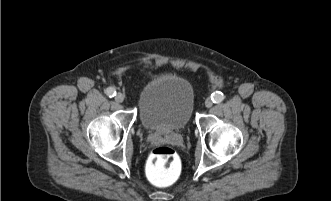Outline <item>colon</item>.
<instances>
[{"label": "colon", "instance_id": "obj_1", "mask_svg": "<svg viewBox=\"0 0 331 201\" xmlns=\"http://www.w3.org/2000/svg\"><path fill=\"white\" fill-rule=\"evenodd\" d=\"M181 173V160L168 146L154 148L146 163V175L156 186L166 187L177 181Z\"/></svg>", "mask_w": 331, "mask_h": 201}]
</instances>
